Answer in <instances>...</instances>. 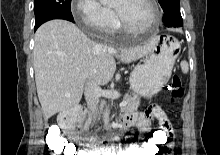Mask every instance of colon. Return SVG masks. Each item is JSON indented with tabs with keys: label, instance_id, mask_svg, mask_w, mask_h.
Listing matches in <instances>:
<instances>
[{
	"label": "colon",
	"instance_id": "5ec220e1",
	"mask_svg": "<svg viewBox=\"0 0 220 155\" xmlns=\"http://www.w3.org/2000/svg\"><path fill=\"white\" fill-rule=\"evenodd\" d=\"M168 90L171 94V101L178 102L183 94V86L179 76L174 75L168 85ZM163 123H154L149 125V135H147L146 142H134L136 151H140V155H157L158 147L160 144H168L167 129H163ZM50 146L46 147L49 151L48 155H85L84 152H78L77 148L80 147L79 143H66L58 131H53L50 134ZM172 146H166L164 149H160V155H173L170 150Z\"/></svg>",
	"mask_w": 220,
	"mask_h": 155
}]
</instances>
